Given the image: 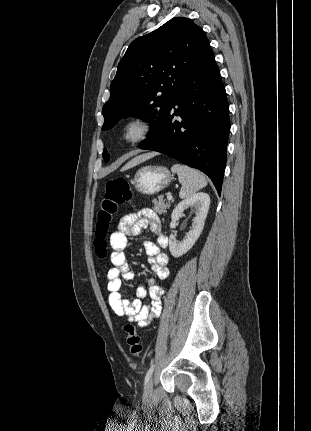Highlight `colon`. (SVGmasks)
I'll return each mask as SVG.
<instances>
[{"instance_id": "5ec220e1", "label": "colon", "mask_w": 311, "mask_h": 431, "mask_svg": "<svg viewBox=\"0 0 311 431\" xmlns=\"http://www.w3.org/2000/svg\"><path fill=\"white\" fill-rule=\"evenodd\" d=\"M131 197L132 191L125 178L116 177L105 183L104 194L97 213L94 240L95 251L99 257H103L106 254V236L119 212L120 206L128 202ZM125 331L130 353L137 358L140 357L142 344L135 326L129 323L126 325Z\"/></svg>"}]
</instances>
